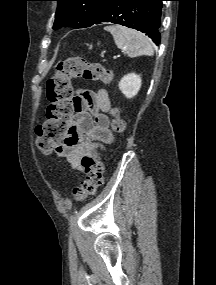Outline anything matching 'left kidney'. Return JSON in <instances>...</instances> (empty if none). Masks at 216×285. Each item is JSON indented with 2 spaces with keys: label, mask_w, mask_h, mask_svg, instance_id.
<instances>
[{
  "label": "left kidney",
  "mask_w": 216,
  "mask_h": 285,
  "mask_svg": "<svg viewBox=\"0 0 216 285\" xmlns=\"http://www.w3.org/2000/svg\"><path fill=\"white\" fill-rule=\"evenodd\" d=\"M141 77L135 73L125 75L119 82V89L126 98H132L139 92L141 88Z\"/></svg>",
  "instance_id": "5707ae66"
}]
</instances>
